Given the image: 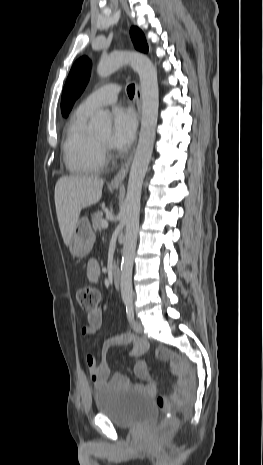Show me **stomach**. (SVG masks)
I'll use <instances>...</instances> for the list:
<instances>
[{
  "label": "stomach",
  "mask_w": 263,
  "mask_h": 465,
  "mask_svg": "<svg viewBox=\"0 0 263 465\" xmlns=\"http://www.w3.org/2000/svg\"><path fill=\"white\" fill-rule=\"evenodd\" d=\"M94 242L95 233L91 228L89 219L87 217L79 218L70 239V253L74 257L82 258L92 250Z\"/></svg>",
  "instance_id": "1"
}]
</instances>
